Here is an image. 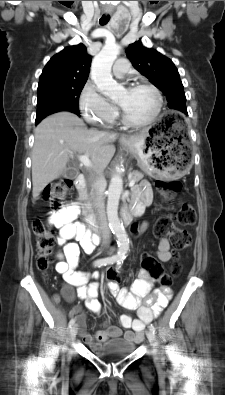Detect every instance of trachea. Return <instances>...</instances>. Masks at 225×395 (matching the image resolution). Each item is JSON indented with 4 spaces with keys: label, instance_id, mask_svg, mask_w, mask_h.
<instances>
[{
    "label": "trachea",
    "instance_id": "trachea-1",
    "mask_svg": "<svg viewBox=\"0 0 225 395\" xmlns=\"http://www.w3.org/2000/svg\"><path fill=\"white\" fill-rule=\"evenodd\" d=\"M109 20H110V16L103 15L100 18L99 22H100L101 25H106L109 22Z\"/></svg>",
    "mask_w": 225,
    "mask_h": 395
}]
</instances>
